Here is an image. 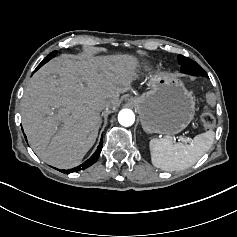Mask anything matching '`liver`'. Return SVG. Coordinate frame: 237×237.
<instances>
[{
	"label": "liver",
	"instance_id": "1",
	"mask_svg": "<svg viewBox=\"0 0 237 237\" xmlns=\"http://www.w3.org/2000/svg\"><path fill=\"white\" fill-rule=\"evenodd\" d=\"M137 63L128 54H83L78 60L54 58L41 67L21 100L22 125L37 156L60 169L78 166L98 136L99 102L119 106Z\"/></svg>",
	"mask_w": 237,
	"mask_h": 237
}]
</instances>
